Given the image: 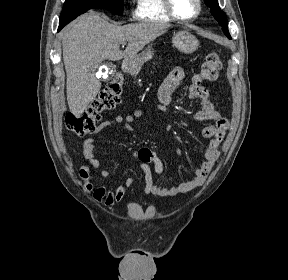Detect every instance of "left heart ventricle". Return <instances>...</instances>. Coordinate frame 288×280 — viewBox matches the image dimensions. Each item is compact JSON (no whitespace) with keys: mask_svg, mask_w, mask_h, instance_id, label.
I'll return each instance as SVG.
<instances>
[{"mask_svg":"<svg viewBox=\"0 0 288 280\" xmlns=\"http://www.w3.org/2000/svg\"><path fill=\"white\" fill-rule=\"evenodd\" d=\"M176 14L181 18L192 17L197 11L196 0H172Z\"/></svg>","mask_w":288,"mask_h":280,"instance_id":"b2bd125f","label":"left heart ventricle"}]
</instances>
